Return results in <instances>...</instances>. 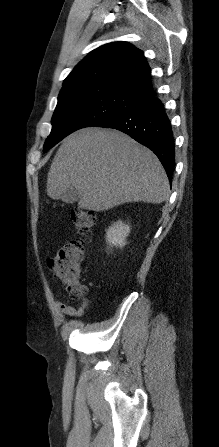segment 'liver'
Returning <instances> with one entry per match:
<instances>
[{"instance_id":"liver-1","label":"liver","mask_w":219,"mask_h":447,"mask_svg":"<svg viewBox=\"0 0 219 447\" xmlns=\"http://www.w3.org/2000/svg\"><path fill=\"white\" fill-rule=\"evenodd\" d=\"M69 188L78 206L104 211L126 202L159 204L169 181L156 155L115 130L85 128L63 140L47 177V195L62 199Z\"/></svg>"}]
</instances>
